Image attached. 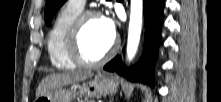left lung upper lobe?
Returning <instances> with one entry per match:
<instances>
[{
	"label": "left lung upper lobe",
	"mask_w": 221,
	"mask_h": 102,
	"mask_svg": "<svg viewBox=\"0 0 221 102\" xmlns=\"http://www.w3.org/2000/svg\"><path fill=\"white\" fill-rule=\"evenodd\" d=\"M66 0H47L44 16L47 25L50 24L56 11L65 3Z\"/></svg>",
	"instance_id": "obj_1"
}]
</instances>
